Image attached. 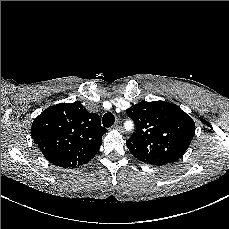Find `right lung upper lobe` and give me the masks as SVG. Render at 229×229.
Here are the masks:
<instances>
[{"label": "right lung upper lobe", "instance_id": "obj_1", "mask_svg": "<svg viewBox=\"0 0 229 229\" xmlns=\"http://www.w3.org/2000/svg\"><path fill=\"white\" fill-rule=\"evenodd\" d=\"M106 132L99 115L89 113L78 101L45 109L31 128V136L44 157L65 168L90 161L99 151Z\"/></svg>", "mask_w": 229, "mask_h": 229}]
</instances>
